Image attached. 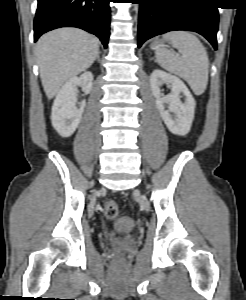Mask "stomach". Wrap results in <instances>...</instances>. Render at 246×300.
I'll use <instances>...</instances> for the list:
<instances>
[{
	"label": "stomach",
	"mask_w": 246,
	"mask_h": 300,
	"mask_svg": "<svg viewBox=\"0 0 246 300\" xmlns=\"http://www.w3.org/2000/svg\"><path fill=\"white\" fill-rule=\"evenodd\" d=\"M163 46L162 42L161 41H154L152 44H151V49H157L159 47Z\"/></svg>",
	"instance_id": "obj_1"
}]
</instances>
